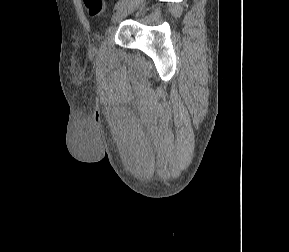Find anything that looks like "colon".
<instances>
[{
    "mask_svg": "<svg viewBox=\"0 0 289 252\" xmlns=\"http://www.w3.org/2000/svg\"><path fill=\"white\" fill-rule=\"evenodd\" d=\"M83 2L91 16H100L106 10L104 0H83Z\"/></svg>",
    "mask_w": 289,
    "mask_h": 252,
    "instance_id": "5ec220e1",
    "label": "colon"
}]
</instances>
